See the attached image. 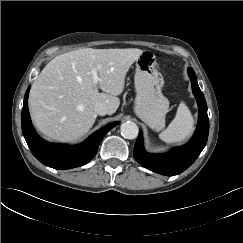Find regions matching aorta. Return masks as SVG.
Instances as JSON below:
<instances>
[{
  "mask_svg": "<svg viewBox=\"0 0 243 243\" xmlns=\"http://www.w3.org/2000/svg\"><path fill=\"white\" fill-rule=\"evenodd\" d=\"M121 135L126 139H135L138 136L139 129L136 123L127 121L121 124Z\"/></svg>",
  "mask_w": 243,
  "mask_h": 243,
  "instance_id": "aorta-1",
  "label": "aorta"
}]
</instances>
